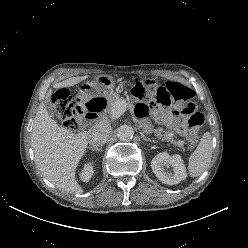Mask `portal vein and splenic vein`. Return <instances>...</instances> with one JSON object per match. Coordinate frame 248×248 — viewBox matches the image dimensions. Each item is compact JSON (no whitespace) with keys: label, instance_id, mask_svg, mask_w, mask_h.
I'll use <instances>...</instances> for the list:
<instances>
[{"label":"portal vein and splenic vein","instance_id":"obj_1","mask_svg":"<svg viewBox=\"0 0 248 248\" xmlns=\"http://www.w3.org/2000/svg\"><path fill=\"white\" fill-rule=\"evenodd\" d=\"M126 108H127L126 101L122 100L116 102L110 111V117L112 119L120 117V115H122L125 112Z\"/></svg>","mask_w":248,"mask_h":248}]
</instances>
